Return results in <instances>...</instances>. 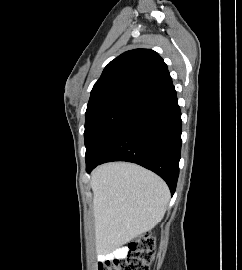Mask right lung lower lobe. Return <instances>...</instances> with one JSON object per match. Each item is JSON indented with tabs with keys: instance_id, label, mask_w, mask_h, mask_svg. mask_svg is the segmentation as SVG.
<instances>
[{
	"instance_id": "right-lung-lower-lobe-1",
	"label": "right lung lower lobe",
	"mask_w": 242,
	"mask_h": 270,
	"mask_svg": "<svg viewBox=\"0 0 242 270\" xmlns=\"http://www.w3.org/2000/svg\"><path fill=\"white\" fill-rule=\"evenodd\" d=\"M182 121L176 91L169 86L137 104L86 171L109 161H128L152 170L165 180L171 194L179 175Z\"/></svg>"
}]
</instances>
